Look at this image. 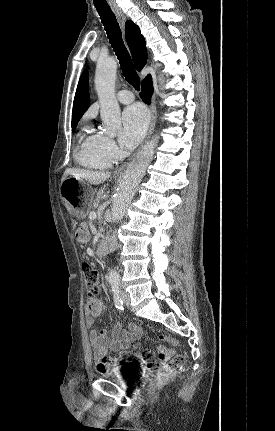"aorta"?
Here are the masks:
<instances>
[{"label": "aorta", "mask_w": 275, "mask_h": 431, "mask_svg": "<svg viewBox=\"0 0 275 431\" xmlns=\"http://www.w3.org/2000/svg\"><path fill=\"white\" fill-rule=\"evenodd\" d=\"M116 71L117 62L115 58L109 57L98 61L95 73V88L100 102L103 131L111 137L121 129L120 107L115 98ZM159 80L162 81V78L160 77ZM156 145L157 138L155 137L142 148L124 172L111 208L113 222H118L123 218L138 184L153 159ZM119 281V273L116 270H110L109 282L118 283Z\"/></svg>", "instance_id": "obj_1"}]
</instances>
